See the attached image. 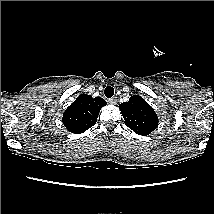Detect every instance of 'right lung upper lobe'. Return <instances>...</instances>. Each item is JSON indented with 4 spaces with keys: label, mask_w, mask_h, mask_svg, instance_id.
<instances>
[{
    "label": "right lung upper lobe",
    "mask_w": 214,
    "mask_h": 214,
    "mask_svg": "<svg viewBox=\"0 0 214 214\" xmlns=\"http://www.w3.org/2000/svg\"><path fill=\"white\" fill-rule=\"evenodd\" d=\"M105 105L106 101L101 97L92 98L90 95L81 94L65 110L62 122L68 131L83 133L96 123L99 111Z\"/></svg>",
    "instance_id": "right-lung-upper-lobe-1"
}]
</instances>
